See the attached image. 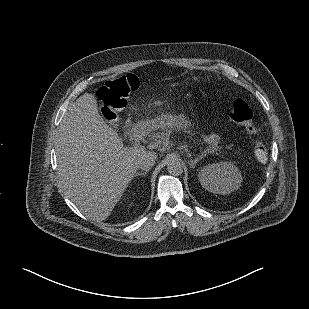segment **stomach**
<instances>
[{"mask_svg": "<svg viewBox=\"0 0 309 309\" xmlns=\"http://www.w3.org/2000/svg\"><path fill=\"white\" fill-rule=\"evenodd\" d=\"M149 122L157 128H182L186 123V117L183 114H167L155 117L149 120Z\"/></svg>", "mask_w": 309, "mask_h": 309, "instance_id": "obj_1", "label": "stomach"}]
</instances>
